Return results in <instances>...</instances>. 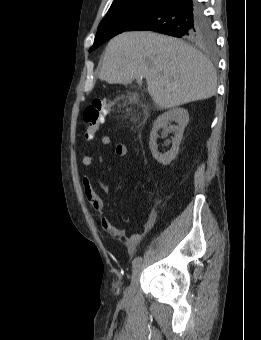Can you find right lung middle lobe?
Instances as JSON below:
<instances>
[{
	"label": "right lung middle lobe",
	"mask_w": 261,
	"mask_h": 340,
	"mask_svg": "<svg viewBox=\"0 0 261 340\" xmlns=\"http://www.w3.org/2000/svg\"><path fill=\"white\" fill-rule=\"evenodd\" d=\"M159 2L160 1H136L110 7L106 16L99 24L94 44L89 52L115 35L127 31L139 19L155 9ZM181 38L208 47L214 45V33L209 20L204 15L197 23L187 27Z\"/></svg>",
	"instance_id": "dd1d6c3e"
}]
</instances>
